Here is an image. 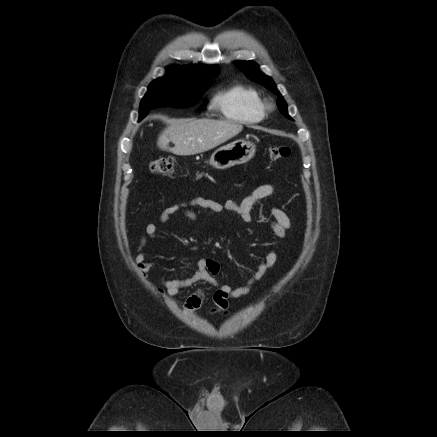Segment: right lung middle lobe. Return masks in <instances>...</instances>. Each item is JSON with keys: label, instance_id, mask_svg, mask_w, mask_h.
Returning <instances> with one entry per match:
<instances>
[{"label": "right lung middle lobe", "instance_id": "dd1d6c3e", "mask_svg": "<svg viewBox=\"0 0 437 437\" xmlns=\"http://www.w3.org/2000/svg\"><path fill=\"white\" fill-rule=\"evenodd\" d=\"M211 83L212 81L187 83L166 77L154 80L141 101L139 120L143 119L151 109L157 107L184 108L194 105Z\"/></svg>", "mask_w": 437, "mask_h": 437}]
</instances>
